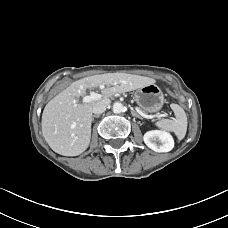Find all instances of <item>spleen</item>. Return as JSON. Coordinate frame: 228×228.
Wrapping results in <instances>:
<instances>
[{
  "mask_svg": "<svg viewBox=\"0 0 228 228\" xmlns=\"http://www.w3.org/2000/svg\"><path fill=\"white\" fill-rule=\"evenodd\" d=\"M176 116L175 119H162L156 122V126L162 130L173 132L179 140L183 139L187 131V116L185 111L178 104H171Z\"/></svg>",
  "mask_w": 228,
  "mask_h": 228,
  "instance_id": "1",
  "label": "spleen"
}]
</instances>
